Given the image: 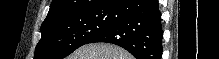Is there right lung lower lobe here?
Instances as JSON below:
<instances>
[{"label": "right lung lower lobe", "instance_id": "right-lung-lower-lobe-1", "mask_svg": "<svg viewBox=\"0 0 219 59\" xmlns=\"http://www.w3.org/2000/svg\"><path fill=\"white\" fill-rule=\"evenodd\" d=\"M117 20L90 43L116 44L136 59H161L162 25L157 0H120L114 7Z\"/></svg>", "mask_w": 219, "mask_h": 59}]
</instances>
